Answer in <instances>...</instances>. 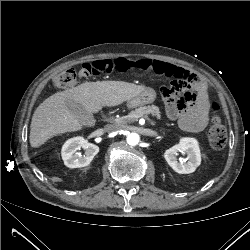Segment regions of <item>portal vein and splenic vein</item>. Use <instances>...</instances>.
I'll list each match as a JSON object with an SVG mask.
<instances>
[{
    "instance_id": "portal-vein-and-splenic-vein-1",
    "label": "portal vein and splenic vein",
    "mask_w": 250,
    "mask_h": 250,
    "mask_svg": "<svg viewBox=\"0 0 250 250\" xmlns=\"http://www.w3.org/2000/svg\"><path fill=\"white\" fill-rule=\"evenodd\" d=\"M144 118L147 119V120H150L147 116H145Z\"/></svg>"
}]
</instances>
